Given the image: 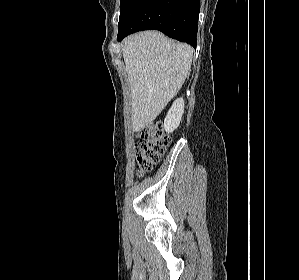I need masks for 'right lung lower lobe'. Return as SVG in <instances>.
<instances>
[{"label":"right lung lower lobe","instance_id":"1","mask_svg":"<svg viewBox=\"0 0 299 280\" xmlns=\"http://www.w3.org/2000/svg\"><path fill=\"white\" fill-rule=\"evenodd\" d=\"M199 12L200 0H124L117 40L154 29L196 47Z\"/></svg>","mask_w":299,"mask_h":280}]
</instances>
